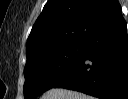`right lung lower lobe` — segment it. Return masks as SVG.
<instances>
[{
	"label": "right lung lower lobe",
	"instance_id": "98d812e1",
	"mask_svg": "<svg viewBox=\"0 0 128 99\" xmlns=\"http://www.w3.org/2000/svg\"><path fill=\"white\" fill-rule=\"evenodd\" d=\"M84 45L78 63L53 88L76 90L100 99H127L128 35L122 11Z\"/></svg>",
	"mask_w": 128,
	"mask_h": 99
}]
</instances>
